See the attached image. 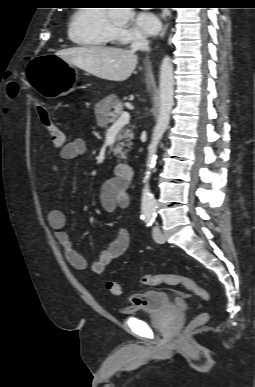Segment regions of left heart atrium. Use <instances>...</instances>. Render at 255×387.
<instances>
[{"label": "left heart atrium", "instance_id": "1", "mask_svg": "<svg viewBox=\"0 0 255 387\" xmlns=\"http://www.w3.org/2000/svg\"><path fill=\"white\" fill-rule=\"evenodd\" d=\"M138 31L147 36L156 35L161 29L159 18L151 12H140L134 19Z\"/></svg>", "mask_w": 255, "mask_h": 387}]
</instances>
